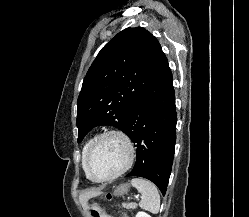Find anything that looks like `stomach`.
<instances>
[{
	"instance_id": "stomach-1",
	"label": "stomach",
	"mask_w": 249,
	"mask_h": 217,
	"mask_svg": "<svg viewBox=\"0 0 249 217\" xmlns=\"http://www.w3.org/2000/svg\"><path fill=\"white\" fill-rule=\"evenodd\" d=\"M127 191H128V185H120V186L117 187L114 194L116 196H121V195L127 193Z\"/></svg>"
}]
</instances>
